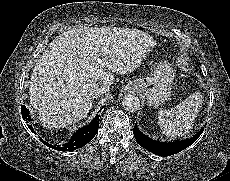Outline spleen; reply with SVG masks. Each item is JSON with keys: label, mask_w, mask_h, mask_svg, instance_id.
Instances as JSON below:
<instances>
[{"label": "spleen", "mask_w": 230, "mask_h": 181, "mask_svg": "<svg viewBox=\"0 0 230 181\" xmlns=\"http://www.w3.org/2000/svg\"><path fill=\"white\" fill-rule=\"evenodd\" d=\"M200 93H193L171 109L158 111V124L163 134L168 137L183 136L193 126L202 104Z\"/></svg>", "instance_id": "3e777b00"}]
</instances>
